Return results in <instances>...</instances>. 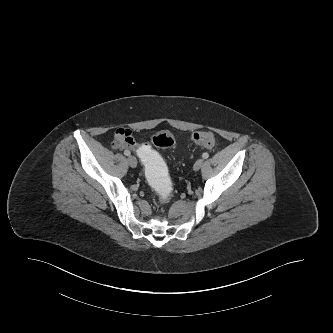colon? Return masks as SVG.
Returning a JSON list of instances; mask_svg holds the SVG:
<instances>
[{
    "mask_svg": "<svg viewBox=\"0 0 333 333\" xmlns=\"http://www.w3.org/2000/svg\"><path fill=\"white\" fill-rule=\"evenodd\" d=\"M192 140L195 144L211 148L215 143V138L210 131H197L193 133ZM152 145L141 143L137 147V155L141 163L144 164V178L150 184L161 200L170 203L175 198L174 189L168 175V168L164 160V155L156 148L166 149L175 144V137L168 131H162L152 137Z\"/></svg>",
    "mask_w": 333,
    "mask_h": 333,
    "instance_id": "1",
    "label": "colon"
}]
</instances>
